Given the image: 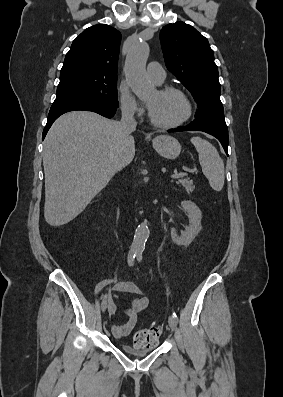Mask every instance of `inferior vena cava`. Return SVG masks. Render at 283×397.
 <instances>
[{
	"mask_svg": "<svg viewBox=\"0 0 283 397\" xmlns=\"http://www.w3.org/2000/svg\"><path fill=\"white\" fill-rule=\"evenodd\" d=\"M122 117L119 122V128L125 138L130 136V133L136 129L137 122L134 119V111L128 106H123L121 108Z\"/></svg>",
	"mask_w": 283,
	"mask_h": 397,
	"instance_id": "inferior-vena-cava-1",
	"label": "inferior vena cava"
}]
</instances>
